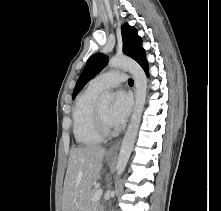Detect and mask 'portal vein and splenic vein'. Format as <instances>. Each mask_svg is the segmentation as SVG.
<instances>
[{
	"label": "portal vein and splenic vein",
	"instance_id": "18ae733b",
	"mask_svg": "<svg viewBox=\"0 0 221 211\" xmlns=\"http://www.w3.org/2000/svg\"><path fill=\"white\" fill-rule=\"evenodd\" d=\"M102 193H103V190L102 189H99L97 190V192L94 194L93 196V201L94 202H97L100 200L101 196H102Z\"/></svg>",
	"mask_w": 221,
	"mask_h": 211
}]
</instances>
